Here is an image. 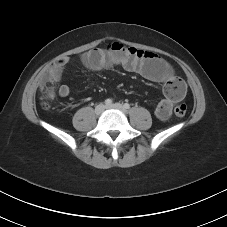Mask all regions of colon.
I'll use <instances>...</instances> for the list:
<instances>
[{"instance_id": "obj_1", "label": "colon", "mask_w": 227, "mask_h": 227, "mask_svg": "<svg viewBox=\"0 0 227 227\" xmlns=\"http://www.w3.org/2000/svg\"><path fill=\"white\" fill-rule=\"evenodd\" d=\"M40 90L46 97V100L43 102L42 105L44 108H48L49 101L54 96L53 81L45 76L41 81ZM186 112H187V107L184 104L177 105L174 109V114L178 118H183L186 115Z\"/></svg>"}]
</instances>
